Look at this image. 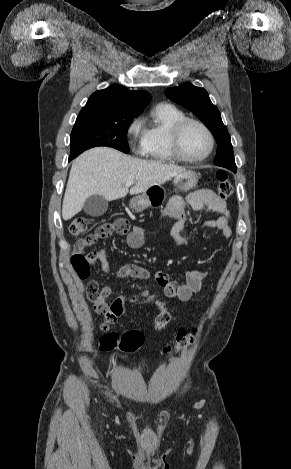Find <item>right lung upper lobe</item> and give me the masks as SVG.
<instances>
[{
	"instance_id": "1",
	"label": "right lung upper lobe",
	"mask_w": 291,
	"mask_h": 469,
	"mask_svg": "<svg viewBox=\"0 0 291 469\" xmlns=\"http://www.w3.org/2000/svg\"><path fill=\"white\" fill-rule=\"evenodd\" d=\"M147 91H131L113 84L110 87L94 92L82 108L79 115L99 117H136L150 102Z\"/></svg>"
}]
</instances>
